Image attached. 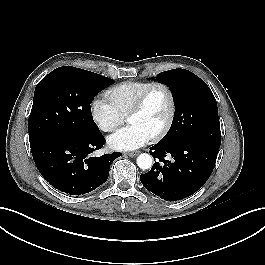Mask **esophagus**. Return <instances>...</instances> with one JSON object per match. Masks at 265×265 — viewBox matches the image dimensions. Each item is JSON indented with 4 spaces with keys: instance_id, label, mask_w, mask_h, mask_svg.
Instances as JSON below:
<instances>
[{
    "instance_id": "esophagus-1",
    "label": "esophagus",
    "mask_w": 265,
    "mask_h": 265,
    "mask_svg": "<svg viewBox=\"0 0 265 265\" xmlns=\"http://www.w3.org/2000/svg\"><path fill=\"white\" fill-rule=\"evenodd\" d=\"M125 156H129V157H135L138 155V152H127L124 153Z\"/></svg>"
}]
</instances>
